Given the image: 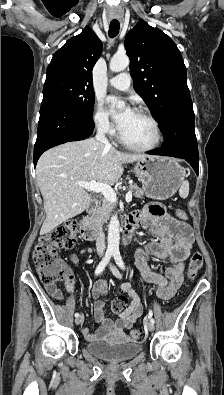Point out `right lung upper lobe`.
Masks as SVG:
<instances>
[{
	"instance_id": "1",
	"label": "right lung upper lobe",
	"mask_w": 224,
	"mask_h": 395,
	"mask_svg": "<svg viewBox=\"0 0 224 395\" xmlns=\"http://www.w3.org/2000/svg\"><path fill=\"white\" fill-rule=\"evenodd\" d=\"M102 52V43L86 26L69 39L57 52L47 68V76L63 75L88 84L92 83V69Z\"/></svg>"
}]
</instances>
